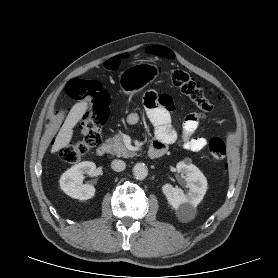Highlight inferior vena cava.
Returning <instances> with one entry per match:
<instances>
[{"label": "inferior vena cava", "mask_w": 278, "mask_h": 278, "mask_svg": "<svg viewBox=\"0 0 278 278\" xmlns=\"http://www.w3.org/2000/svg\"><path fill=\"white\" fill-rule=\"evenodd\" d=\"M111 168L114 171L120 172V171H123L126 168V163L122 160L115 159L111 163Z\"/></svg>", "instance_id": "1"}]
</instances>
